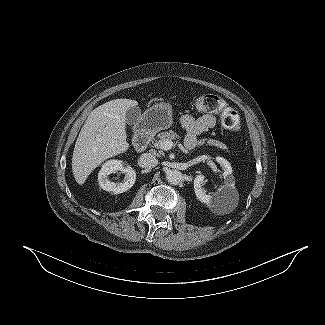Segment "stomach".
Returning <instances> with one entry per match:
<instances>
[{"label":"stomach","mask_w":325,"mask_h":325,"mask_svg":"<svg viewBox=\"0 0 325 325\" xmlns=\"http://www.w3.org/2000/svg\"><path fill=\"white\" fill-rule=\"evenodd\" d=\"M141 121L144 128L155 132L169 128L173 123L172 107L166 102L156 103L145 111Z\"/></svg>","instance_id":"stomach-1"}]
</instances>
